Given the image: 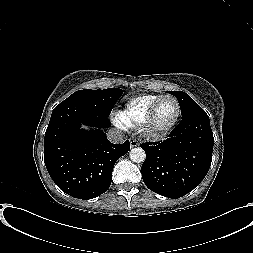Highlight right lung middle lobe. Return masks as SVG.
<instances>
[{"label":"right lung middle lobe","instance_id":"dd1d6c3e","mask_svg":"<svg viewBox=\"0 0 253 253\" xmlns=\"http://www.w3.org/2000/svg\"><path fill=\"white\" fill-rule=\"evenodd\" d=\"M122 89L79 90L61 102L60 106H82L100 115L108 117L116 101L121 97Z\"/></svg>","mask_w":253,"mask_h":253}]
</instances>
